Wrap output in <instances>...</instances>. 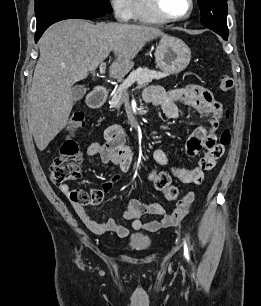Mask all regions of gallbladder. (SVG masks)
Returning a JSON list of instances; mask_svg holds the SVG:
<instances>
[{
  "instance_id": "gallbladder-1",
  "label": "gallbladder",
  "mask_w": 261,
  "mask_h": 306,
  "mask_svg": "<svg viewBox=\"0 0 261 306\" xmlns=\"http://www.w3.org/2000/svg\"><path fill=\"white\" fill-rule=\"evenodd\" d=\"M86 88L83 86H75L72 88V100L74 102L82 99L86 94Z\"/></svg>"
}]
</instances>
